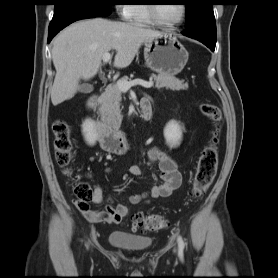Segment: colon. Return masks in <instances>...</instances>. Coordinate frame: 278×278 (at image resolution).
<instances>
[{
	"label": "colon",
	"mask_w": 278,
	"mask_h": 278,
	"mask_svg": "<svg viewBox=\"0 0 278 278\" xmlns=\"http://www.w3.org/2000/svg\"><path fill=\"white\" fill-rule=\"evenodd\" d=\"M200 111L214 123V129L198 160L191 190V196L194 199H201L204 196L216 175L218 166V131L222 119L221 110L214 104L204 103L200 106ZM53 132L57 163L65 168L69 174L68 166L74 159V142L71 137L70 126L64 120H56L53 123ZM73 190L77 203L88 204L92 200V189L87 183L78 182L74 185ZM167 225V220L158 214H137L133 217L134 229L156 231L167 227Z\"/></svg>",
	"instance_id": "colon-1"
}]
</instances>
